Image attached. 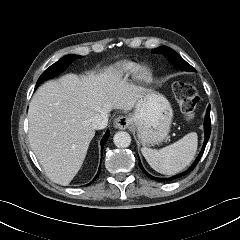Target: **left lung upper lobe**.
<instances>
[{
  "instance_id": "1",
  "label": "left lung upper lobe",
  "mask_w": 240,
  "mask_h": 240,
  "mask_svg": "<svg viewBox=\"0 0 240 240\" xmlns=\"http://www.w3.org/2000/svg\"><path fill=\"white\" fill-rule=\"evenodd\" d=\"M155 54H163L167 57L177 68L185 71H195V69L188 64L179 54L167 46H161L152 51Z\"/></svg>"
}]
</instances>
